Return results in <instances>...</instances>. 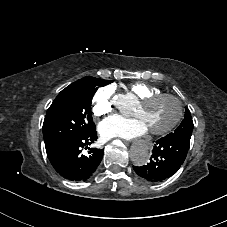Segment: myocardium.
Instances as JSON below:
<instances>
[{"label": "myocardium", "mask_w": 227, "mask_h": 227, "mask_svg": "<svg viewBox=\"0 0 227 227\" xmlns=\"http://www.w3.org/2000/svg\"><path fill=\"white\" fill-rule=\"evenodd\" d=\"M162 98H170L171 100H173L175 102V104L177 106V114H176L175 118L173 119V121L166 128L161 129V130H149V132L151 134L156 135V136L164 135V134L172 131L173 129H175L180 124V122L184 116V105H183L182 101L180 100L179 97H177L176 95L171 94V93L160 92L157 94L145 96L140 99L139 105L141 107H144V106L150 105Z\"/></svg>", "instance_id": "myocardium-1"}]
</instances>
